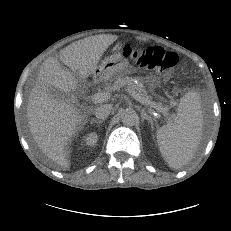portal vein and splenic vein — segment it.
<instances>
[{
  "label": "portal vein and splenic vein",
  "instance_id": "obj_1",
  "mask_svg": "<svg viewBox=\"0 0 231 231\" xmlns=\"http://www.w3.org/2000/svg\"><path fill=\"white\" fill-rule=\"evenodd\" d=\"M127 92L137 101H139L140 103H142L143 105H149L151 107V103L149 101H147L146 99H144L143 97H141L136 91L127 88ZM110 93L109 92H98L95 93L92 96V101L94 103H101V102H105L107 100L110 99Z\"/></svg>",
  "mask_w": 231,
  "mask_h": 231
}]
</instances>
